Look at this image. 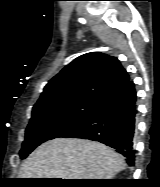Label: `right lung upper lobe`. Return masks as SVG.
Returning a JSON list of instances; mask_svg holds the SVG:
<instances>
[{
	"label": "right lung upper lobe",
	"mask_w": 160,
	"mask_h": 187,
	"mask_svg": "<svg viewBox=\"0 0 160 187\" xmlns=\"http://www.w3.org/2000/svg\"><path fill=\"white\" fill-rule=\"evenodd\" d=\"M130 80L117 58L91 52L77 57L44 87L33 108L75 100L98 101Z\"/></svg>",
	"instance_id": "cb5924a9"
}]
</instances>
